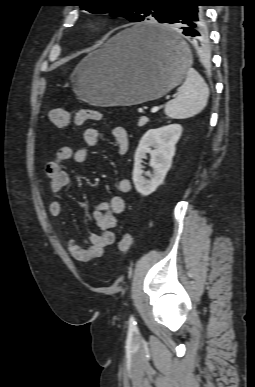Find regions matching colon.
I'll use <instances>...</instances> for the list:
<instances>
[{
  "instance_id": "5ec220e1",
  "label": "colon",
  "mask_w": 255,
  "mask_h": 387,
  "mask_svg": "<svg viewBox=\"0 0 255 387\" xmlns=\"http://www.w3.org/2000/svg\"><path fill=\"white\" fill-rule=\"evenodd\" d=\"M49 119L58 128H66L72 123L83 124L86 121H100L102 114L94 109H81L72 117L63 107H55L49 112ZM135 240L130 233H125L119 241V250L122 254H127L134 246Z\"/></svg>"
}]
</instances>
